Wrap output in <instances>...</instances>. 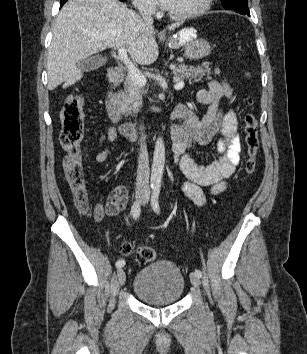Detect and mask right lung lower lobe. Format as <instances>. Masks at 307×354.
I'll list each match as a JSON object with an SVG mask.
<instances>
[{
	"mask_svg": "<svg viewBox=\"0 0 307 354\" xmlns=\"http://www.w3.org/2000/svg\"><path fill=\"white\" fill-rule=\"evenodd\" d=\"M66 1L67 0H61L60 7H62Z\"/></svg>",
	"mask_w": 307,
	"mask_h": 354,
	"instance_id": "right-lung-lower-lobe-1",
	"label": "right lung lower lobe"
}]
</instances>
